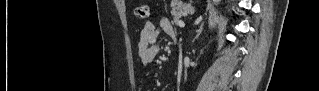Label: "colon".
Wrapping results in <instances>:
<instances>
[{
  "instance_id": "1",
  "label": "colon",
  "mask_w": 319,
  "mask_h": 91,
  "mask_svg": "<svg viewBox=\"0 0 319 91\" xmlns=\"http://www.w3.org/2000/svg\"><path fill=\"white\" fill-rule=\"evenodd\" d=\"M136 15L142 20L150 19V7L147 4H140L136 8Z\"/></svg>"
}]
</instances>
